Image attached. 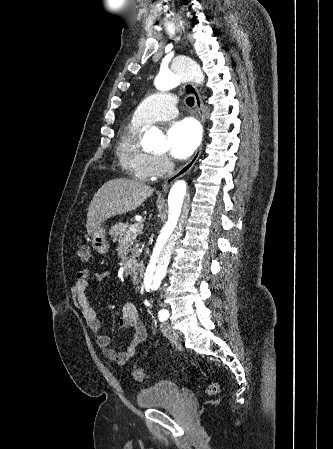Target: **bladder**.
Returning <instances> with one entry per match:
<instances>
[{
  "mask_svg": "<svg viewBox=\"0 0 333 449\" xmlns=\"http://www.w3.org/2000/svg\"><path fill=\"white\" fill-rule=\"evenodd\" d=\"M181 394L180 386L173 381H159L141 389L136 396L138 407L143 409L172 406Z\"/></svg>",
  "mask_w": 333,
  "mask_h": 449,
  "instance_id": "31cf9c89",
  "label": "bladder"
}]
</instances>
